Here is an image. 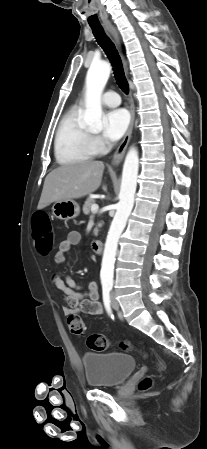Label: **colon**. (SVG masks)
Returning a JSON list of instances; mask_svg holds the SVG:
<instances>
[{
  "label": "colon",
  "mask_w": 207,
  "mask_h": 449,
  "mask_svg": "<svg viewBox=\"0 0 207 449\" xmlns=\"http://www.w3.org/2000/svg\"><path fill=\"white\" fill-rule=\"evenodd\" d=\"M32 222L36 249L41 255H48L54 244L53 229L50 219L46 213L36 212L33 215ZM67 323L69 330L73 335L80 337L85 335L86 327L80 316L70 315L67 319ZM87 344L89 348L98 352H104L109 348V341L103 334H91L87 338ZM122 347L131 349V345L128 342H123ZM141 354L145 356L144 353L141 352ZM150 385L151 380L146 378L140 383V389L146 390Z\"/></svg>",
  "instance_id": "obj_1"
}]
</instances>
